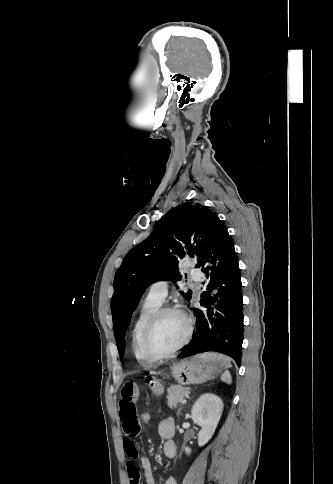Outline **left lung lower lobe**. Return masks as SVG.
<instances>
[{
    "label": "left lung lower lobe",
    "mask_w": 333,
    "mask_h": 484,
    "mask_svg": "<svg viewBox=\"0 0 333 484\" xmlns=\"http://www.w3.org/2000/svg\"><path fill=\"white\" fill-rule=\"evenodd\" d=\"M196 267L207 274L208 284L201 294L203 308H194L193 339L178 357L217 351L232 357L240 366L243 341L240 270L233 240L218 217L211 222Z\"/></svg>",
    "instance_id": "obj_1"
}]
</instances>
